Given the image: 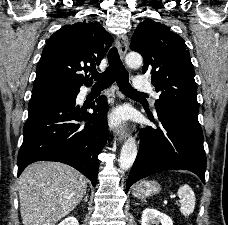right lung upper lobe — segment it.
I'll list each match as a JSON object with an SVG mask.
<instances>
[{
  "label": "right lung upper lobe",
  "mask_w": 228,
  "mask_h": 225,
  "mask_svg": "<svg viewBox=\"0 0 228 225\" xmlns=\"http://www.w3.org/2000/svg\"><path fill=\"white\" fill-rule=\"evenodd\" d=\"M113 38L95 21L65 25L47 41L36 70L33 88L58 85L79 89L92 83L79 72L99 65Z\"/></svg>",
  "instance_id": "right-lung-upper-lobe-1"
}]
</instances>
